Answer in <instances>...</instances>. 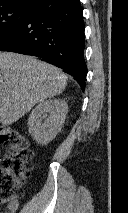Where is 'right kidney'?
I'll list each match as a JSON object with an SVG mask.
<instances>
[{"instance_id": "ca27d5eb", "label": "right kidney", "mask_w": 128, "mask_h": 213, "mask_svg": "<svg viewBox=\"0 0 128 213\" xmlns=\"http://www.w3.org/2000/svg\"><path fill=\"white\" fill-rule=\"evenodd\" d=\"M68 112V105L61 99H49L39 103L28 118V131L39 144L46 145L61 131ZM49 114L43 120V115Z\"/></svg>"}]
</instances>
